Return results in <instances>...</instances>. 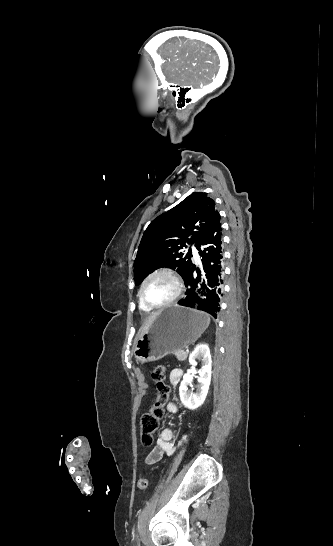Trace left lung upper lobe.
<instances>
[{
    "label": "left lung upper lobe",
    "mask_w": 333,
    "mask_h": 546,
    "mask_svg": "<svg viewBox=\"0 0 333 546\" xmlns=\"http://www.w3.org/2000/svg\"><path fill=\"white\" fill-rule=\"evenodd\" d=\"M219 216L207 193L195 192L174 208L154 219L145 230L134 261V280L141 284L158 268L177 269L185 278L192 265V252L183 249L198 242Z\"/></svg>",
    "instance_id": "obj_1"
}]
</instances>
